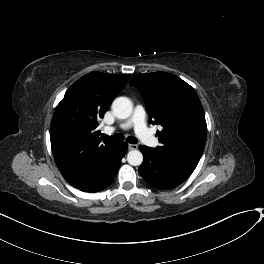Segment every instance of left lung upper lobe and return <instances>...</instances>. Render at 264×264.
Wrapping results in <instances>:
<instances>
[{"label":"left lung upper lobe","instance_id":"obj_1","mask_svg":"<svg viewBox=\"0 0 264 264\" xmlns=\"http://www.w3.org/2000/svg\"><path fill=\"white\" fill-rule=\"evenodd\" d=\"M141 92L151 124L157 131L160 154L198 164L206 143L207 126L195 90L176 75L154 72L133 76L130 86Z\"/></svg>","mask_w":264,"mask_h":264}]
</instances>
